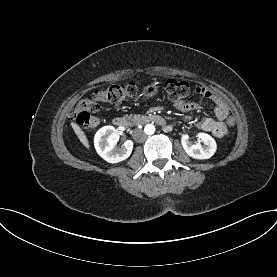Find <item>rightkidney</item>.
<instances>
[{
  "mask_svg": "<svg viewBox=\"0 0 277 277\" xmlns=\"http://www.w3.org/2000/svg\"><path fill=\"white\" fill-rule=\"evenodd\" d=\"M119 133L113 126H104L97 131L94 145L97 153L109 163H118L126 160L133 150V141L127 140L122 148H116Z\"/></svg>",
  "mask_w": 277,
  "mask_h": 277,
  "instance_id": "right-kidney-1",
  "label": "right kidney"
}]
</instances>
